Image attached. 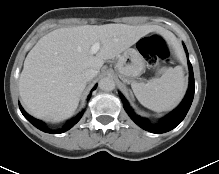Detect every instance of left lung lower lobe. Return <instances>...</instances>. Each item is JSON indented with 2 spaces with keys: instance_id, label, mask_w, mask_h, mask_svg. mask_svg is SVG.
Returning <instances> with one entry per match:
<instances>
[{
  "instance_id": "obj_1",
  "label": "left lung lower lobe",
  "mask_w": 219,
  "mask_h": 174,
  "mask_svg": "<svg viewBox=\"0 0 219 174\" xmlns=\"http://www.w3.org/2000/svg\"><path fill=\"white\" fill-rule=\"evenodd\" d=\"M184 48H185L186 54L188 56V52H187L185 45H184ZM188 66H189V73H190L189 79L190 80H189V89L187 91L185 98L183 99L181 104L173 112H171L166 117L162 118L158 124H155V125L151 124L147 119L136 115L134 110L129 107V103L127 102L125 97L120 93V97L123 101V105H124L125 110L129 114L131 119L138 126H140L142 129H144L146 131L156 133V134H161V133H165V132L172 130L178 124L181 123V121L185 118V116H186V114L191 106V103L193 101V97H194V74H193V68H192V65H191L189 59H188Z\"/></svg>"
}]
</instances>
